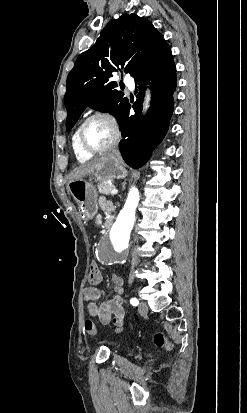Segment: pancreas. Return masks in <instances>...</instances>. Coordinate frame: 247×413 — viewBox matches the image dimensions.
I'll use <instances>...</instances> for the list:
<instances>
[{
    "label": "pancreas",
    "instance_id": "cf45deb5",
    "mask_svg": "<svg viewBox=\"0 0 247 413\" xmlns=\"http://www.w3.org/2000/svg\"><path fill=\"white\" fill-rule=\"evenodd\" d=\"M112 188H115V186L114 184H109L108 180H102V182L98 184V190L102 192V194H111Z\"/></svg>",
    "mask_w": 247,
    "mask_h": 413
}]
</instances>
